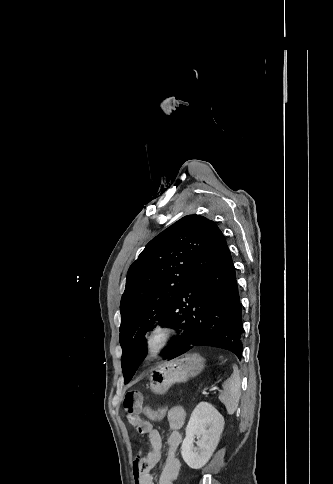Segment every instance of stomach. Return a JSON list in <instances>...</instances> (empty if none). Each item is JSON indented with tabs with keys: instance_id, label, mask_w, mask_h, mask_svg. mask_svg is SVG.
Instances as JSON below:
<instances>
[{
	"instance_id": "stomach-1",
	"label": "stomach",
	"mask_w": 333,
	"mask_h": 484,
	"mask_svg": "<svg viewBox=\"0 0 333 484\" xmlns=\"http://www.w3.org/2000/svg\"><path fill=\"white\" fill-rule=\"evenodd\" d=\"M204 367V358L197 353H186L156 366L150 375V389L164 395L175 383L198 375Z\"/></svg>"
}]
</instances>
